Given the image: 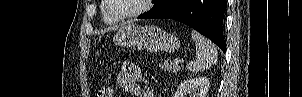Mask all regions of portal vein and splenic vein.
<instances>
[{
  "label": "portal vein and splenic vein",
  "mask_w": 302,
  "mask_h": 97,
  "mask_svg": "<svg viewBox=\"0 0 302 97\" xmlns=\"http://www.w3.org/2000/svg\"><path fill=\"white\" fill-rule=\"evenodd\" d=\"M180 62H181V61H180L179 58H176V59L174 60V64H175V65H178Z\"/></svg>",
  "instance_id": "obj_1"
}]
</instances>
